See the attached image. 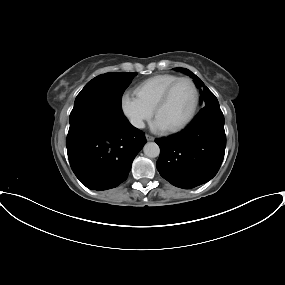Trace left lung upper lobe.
I'll use <instances>...</instances> for the list:
<instances>
[{"instance_id":"left-lung-upper-lobe-1","label":"left lung upper lobe","mask_w":285,"mask_h":285,"mask_svg":"<svg viewBox=\"0 0 285 285\" xmlns=\"http://www.w3.org/2000/svg\"><path fill=\"white\" fill-rule=\"evenodd\" d=\"M174 70L181 71L192 77L197 87L203 86V82L199 79V77L193 74L190 70L185 68H174ZM200 93L202 94L205 106L200 110L198 115L206 111H221L217 98L206 86H204L202 90H200Z\"/></svg>"}]
</instances>
